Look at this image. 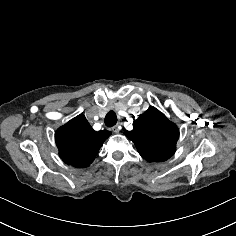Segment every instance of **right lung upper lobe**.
Instances as JSON below:
<instances>
[{"mask_svg": "<svg viewBox=\"0 0 236 236\" xmlns=\"http://www.w3.org/2000/svg\"><path fill=\"white\" fill-rule=\"evenodd\" d=\"M111 135L107 130L94 131L83 114L57 129L56 145L62 160L76 168L89 166L103 142Z\"/></svg>", "mask_w": 236, "mask_h": 236, "instance_id": "cb5924a9", "label": "right lung upper lobe"}]
</instances>
